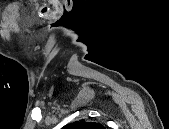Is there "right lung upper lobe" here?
Listing matches in <instances>:
<instances>
[{"label":"right lung upper lobe","mask_w":169,"mask_h":129,"mask_svg":"<svg viewBox=\"0 0 169 129\" xmlns=\"http://www.w3.org/2000/svg\"><path fill=\"white\" fill-rule=\"evenodd\" d=\"M65 129H102V125L93 122L79 121L67 124L64 126Z\"/></svg>","instance_id":"right-lung-upper-lobe-1"}]
</instances>
